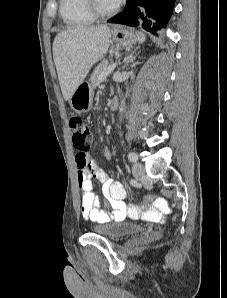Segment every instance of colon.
<instances>
[{"instance_id": "1", "label": "colon", "mask_w": 227, "mask_h": 298, "mask_svg": "<svg viewBox=\"0 0 227 298\" xmlns=\"http://www.w3.org/2000/svg\"><path fill=\"white\" fill-rule=\"evenodd\" d=\"M69 125L75 149L77 151L85 150L87 152L91 145V132L89 124L80 117H72L70 119ZM143 200L148 206H154L160 210H166L167 208L165 201L155 198L154 196H144ZM132 214L133 216L138 215V213L134 212Z\"/></svg>"}]
</instances>
